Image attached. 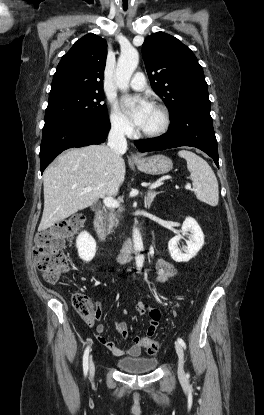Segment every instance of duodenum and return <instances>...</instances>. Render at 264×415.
Wrapping results in <instances>:
<instances>
[{
  "label": "duodenum",
  "mask_w": 264,
  "mask_h": 415,
  "mask_svg": "<svg viewBox=\"0 0 264 415\" xmlns=\"http://www.w3.org/2000/svg\"><path fill=\"white\" fill-rule=\"evenodd\" d=\"M93 229L98 241L102 244L106 243V232L104 227V216L102 210L96 211L93 216ZM133 250V242L131 240H126L120 248L118 256L119 261L123 262L127 260L133 253Z\"/></svg>",
  "instance_id": "1"
}]
</instances>
